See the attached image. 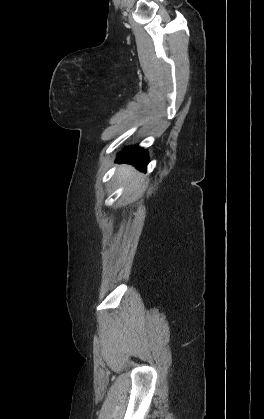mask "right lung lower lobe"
Here are the masks:
<instances>
[{"label": "right lung lower lobe", "mask_w": 264, "mask_h": 419, "mask_svg": "<svg viewBox=\"0 0 264 419\" xmlns=\"http://www.w3.org/2000/svg\"><path fill=\"white\" fill-rule=\"evenodd\" d=\"M148 161L147 152L138 146L124 149L119 153V156L116 159L117 163H129L144 172L146 170Z\"/></svg>", "instance_id": "1"}]
</instances>
